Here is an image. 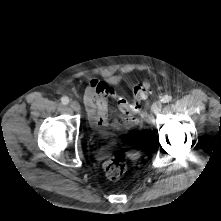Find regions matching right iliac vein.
Returning <instances> with one entry per match:
<instances>
[{
  "instance_id": "1",
  "label": "right iliac vein",
  "mask_w": 221,
  "mask_h": 221,
  "mask_svg": "<svg viewBox=\"0 0 221 221\" xmlns=\"http://www.w3.org/2000/svg\"><path fill=\"white\" fill-rule=\"evenodd\" d=\"M70 107L74 110V111H80V104L77 101H71L70 102Z\"/></svg>"
}]
</instances>
